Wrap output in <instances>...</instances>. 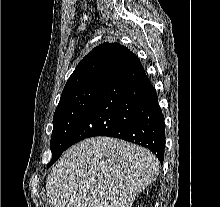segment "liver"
<instances>
[{"label": "liver", "mask_w": 220, "mask_h": 207, "mask_svg": "<svg viewBox=\"0 0 220 207\" xmlns=\"http://www.w3.org/2000/svg\"><path fill=\"white\" fill-rule=\"evenodd\" d=\"M159 167L146 148L110 137L87 138L52 168L46 194L52 207H132Z\"/></svg>", "instance_id": "1"}]
</instances>
